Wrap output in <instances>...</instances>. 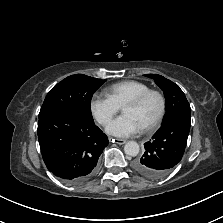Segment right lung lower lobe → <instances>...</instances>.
I'll return each instance as SVG.
<instances>
[{
	"label": "right lung lower lobe",
	"instance_id": "1",
	"mask_svg": "<svg viewBox=\"0 0 223 223\" xmlns=\"http://www.w3.org/2000/svg\"><path fill=\"white\" fill-rule=\"evenodd\" d=\"M38 140L48 170L72 184L93 174L109 142L93 119L74 109H59L40 117Z\"/></svg>",
	"mask_w": 223,
	"mask_h": 223
}]
</instances>
